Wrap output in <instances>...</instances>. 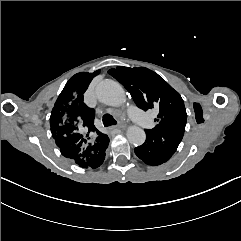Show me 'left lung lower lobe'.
Masks as SVG:
<instances>
[{"instance_id":"1","label":"left lung lower lobe","mask_w":241,"mask_h":241,"mask_svg":"<svg viewBox=\"0 0 241 241\" xmlns=\"http://www.w3.org/2000/svg\"><path fill=\"white\" fill-rule=\"evenodd\" d=\"M185 131L178 128L145 130L146 141L135 148V154L149 165H160L168 161L177 150Z\"/></svg>"}]
</instances>
